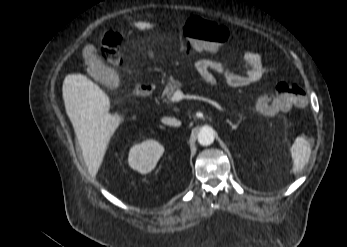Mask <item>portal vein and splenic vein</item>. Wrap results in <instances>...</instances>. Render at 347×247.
<instances>
[{
    "label": "portal vein and splenic vein",
    "instance_id": "obj_1",
    "mask_svg": "<svg viewBox=\"0 0 347 247\" xmlns=\"http://www.w3.org/2000/svg\"><path fill=\"white\" fill-rule=\"evenodd\" d=\"M194 99V100H202V101H205V102H208L209 104L213 105L214 107H216L218 110L224 112V109L223 107L217 103L216 101H213L209 98H206V97H203V96H195V95H184L183 92L180 90V89H177L172 97H171V102H178L182 99Z\"/></svg>",
    "mask_w": 347,
    "mask_h": 247
}]
</instances>
